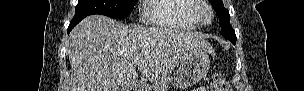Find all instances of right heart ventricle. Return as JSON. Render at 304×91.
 Returning a JSON list of instances; mask_svg holds the SVG:
<instances>
[{
  "instance_id": "obj_1",
  "label": "right heart ventricle",
  "mask_w": 304,
  "mask_h": 91,
  "mask_svg": "<svg viewBox=\"0 0 304 91\" xmlns=\"http://www.w3.org/2000/svg\"><path fill=\"white\" fill-rule=\"evenodd\" d=\"M148 12L152 23L171 29L194 30L199 23L193 17L195 0H150Z\"/></svg>"
}]
</instances>
